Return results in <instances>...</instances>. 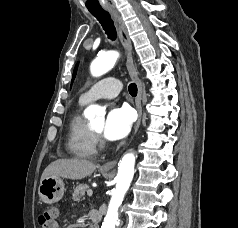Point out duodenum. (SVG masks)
Here are the masks:
<instances>
[{"label": "duodenum", "instance_id": "duodenum-1", "mask_svg": "<svg viewBox=\"0 0 238 228\" xmlns=\"http://www.w3.org/2000/svg\"><path fill=\"white\" fill-rule=\"evenodd\" d=\"M88 219L92 222V228H99V224L102 221V214L98 210H91L88 213Z\"/></svg>", "mask_w": 238, "mask_h": 228}]
</instances>
